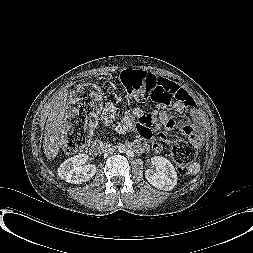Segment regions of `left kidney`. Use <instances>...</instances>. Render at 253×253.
Returning a JSON list of instances; mask_svg holds the SVG:
<instances>
[{"instance_id": "obj_1", "label": "left kidney", "mask_w": 253, "mask_h": 253, "mask_svg": "<svg viewBox=\"0 0 253 253\" xmlns=\"http://www.w3.org/2000/svg\"><path fill=\"white\" fill-rule=\"evenodd\" d=\"M151 166L145 171L147 181L157 189L172 190L178 180L172 163L162 156H154L151 158Z\"/></svg>"}]
</instances>
